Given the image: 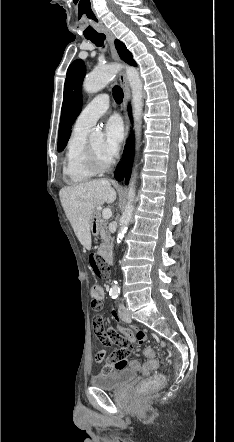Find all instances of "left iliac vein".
<instances>
[{"mask_svg":"<svg viewBox=\"0 0 234 442\" xmlns=\"http://www.w3.org/2000/svg\"><path fill=\"white\" fill-rule=\"evenodd\" d=\"M119 317L124 322H131V317H130V315L124 305H120V307H119Z\"/></svg>","mask_w":234,"mask_h":442,"instance_id":"left-iliac-vein-1","label":"left iliac vein"}]
</instances>
